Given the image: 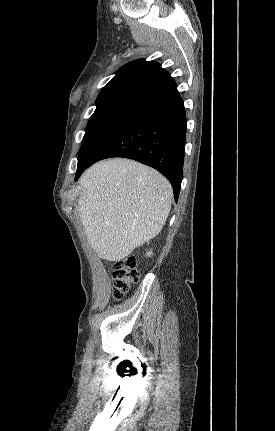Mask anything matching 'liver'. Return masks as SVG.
<instances>
[{
  "mask_svg": "<svg viewBox=\"0 0 275 431\" xmlns=\"http://www.w3.org/2000/svg\"><path fill=\"white\" fill-rule=\"evenodd\" d=\"M80 219L102 259L121 261L163 228L172 186L158 171L129 159L100 161L80 179Z\"/></svg>",
  "mask_w": 275,
  "mask_h": 431,
  "instance_id": "1",
  "label": "liver"
}]
</instances>
